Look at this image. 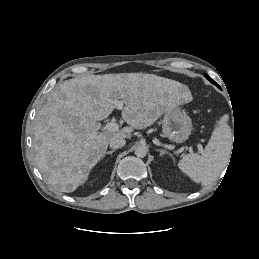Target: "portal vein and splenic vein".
<instances>
[{
	"instance_id": "portal-vein-and-splenic-vein-1",
	"label": "portal vein and splenic vein",
	"mask_w": 259,
	"mask_h": 259,
	"mask_svg": "<svg viewBox=\"0 0 259 259\" xmlns=\"http://www.w3.org/2000/svg\"><path fill=\"white\" fill-rule=\"evenodd\" d=\"M114 104L118 110H122L124 106V101H116ZM103 130H107L110 132H117L119 131V125L115 121H111L105 125ZM198 149L199 151H202V146L201 145L198 146Z\"/></svg>"
}]
</instances>
